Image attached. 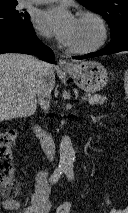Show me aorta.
<instances>
[{
	"label": "aorta",
	"mask_w": 128,
	"mask_h": 213,
	"mask_svg": "<svg viewBox=\"0 0 128 213\" xmlns=\"http://www.w3.org/2000/svg\"><path fill=\"white\" fill-rule=\"evenodd\" d=\"M60 160L59 164L62 168H71L75 160V151L68 135L62 137L60 142Z\"/></svg>",
	"instance_id": "aorta-1"
}]
</instances>
